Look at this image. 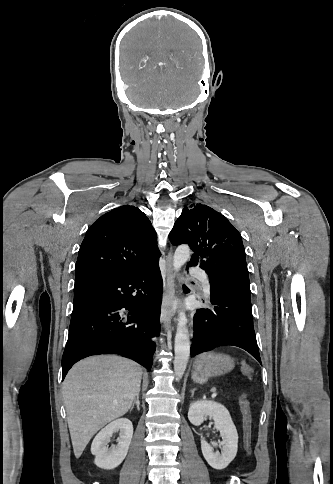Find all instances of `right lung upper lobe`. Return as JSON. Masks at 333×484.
I'll return each mask as SVG.
<instances>
[{"instance_id": "1", "label": "right lung upper lobe", "mask_w": 333, "mask_h": 484, "mask_svg": "<svg viewBox=\"0 0 333 484\" xmlns=\"http://www.w3.org/2000/svg\"><path fill=\"white\" fill-rule=\"evenodd\" d=\"M157 235L149 219L124 205L102 215L86 232L75 280L92 275H130L159 261Z\"/></svg>"}]
</instances>
